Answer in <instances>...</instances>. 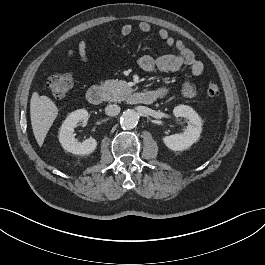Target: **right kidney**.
<instances>
[{
  "instance_id": "obj_1",
  "label": "right kidney",
  "mask_w": 265,
  "mask_h": 265,
  "mask_svg": "<svg viewBox=\"0 0 265 265\" xmlns=\"http://www.w3.org/2000/svg\"><path fill=\"white\" fill-rule=\"evenodd\" d=\"M88 112L85 109H79L70 113L63 122L59 131V142L62 147L73 154L86 155L92 153L97 146L94 138H88L83 142H78L74 138V128L77 127L79 121L85 120Z\"/></svg>"
}]
</instances>
